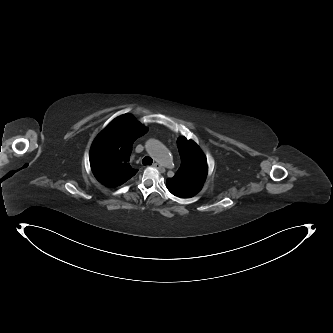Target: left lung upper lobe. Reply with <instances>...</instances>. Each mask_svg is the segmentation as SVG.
<instances>
[{
	"label": "left lung upper lobe",
	"mask_w": 333,
	"mask_h": 333,
	"mask_svg": "<svg viewBox=\"0 0 333 333\" xmlns=\"http://www.w3.org/2000/svg\"><path fill=\"white\" fill-rule=\"evenodd\" d=\"M177 145L181 166L172 178L166 180V187L175 196L190 198L201 190L206 180L207 160L194 141L180 137Z\"/></svg>",
	"instance_id": "1"
}]
</instances>
